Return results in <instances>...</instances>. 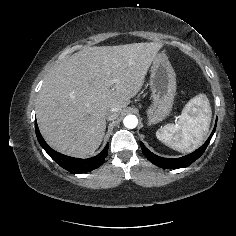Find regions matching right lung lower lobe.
<instances>
[{"label":"right lung lower lobe","mask_w":236,"mask_h":236,"mask_svg":"<svg viewBox=\"0 0 236 236\" xmlns=\"http://www.w3.org/2000/svg\"><path fill=\"white\" fill-rule=\"evenodd\" d=\"M35 131L37 139L44 150L49 154V156L62 168L71 173H86L98 168L103 162L108 153V144L105 146L104 150L95 157L88 159H78L63 155L54 151L49 145L44 141L40 134L37 123H35Z\"/></svg>","instance_id":"1"}]
</instances>
